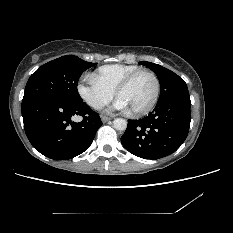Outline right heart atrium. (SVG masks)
Returning <instances> with one entry per match:
<instances>
[{"mask_svg": "<svg viewBox=\"0 0 233 233\" xmlns=\"http://www.w3.org/2000/svg\"><path fill=\"white\" fill-rule=\"evenodd\" d=\"M77 92L81 99L94 110L102 109L113 98V92L90 78L78 84Z\"/></svg>", "mask_w": 233, "mask_h": 233, "instance_id": "right-heart-atrium-1", "label": "right heart atrium"}]
</instances>
